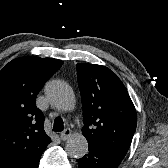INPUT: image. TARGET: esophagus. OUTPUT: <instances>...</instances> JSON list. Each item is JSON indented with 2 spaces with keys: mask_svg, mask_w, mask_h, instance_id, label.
<instances>
[{
  "mask_svg": "<svg viewBox=\"0 0 168 168\" xmlns=\"http://www.w3.org/2000/svg\"><path fill=\"white\" fill-rule=\"evenodd\" d=\"M72 134V131L67 128L63 132H61L60 137L63 141H66Z\"/></svg>",
  "mask_w": 168,
  "mask_h": 168,
  "instance_id": "obj_1",
  "label": "esophagus"
}]
</instances>
